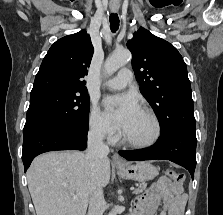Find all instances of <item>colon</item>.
<instances>
[{
    "label": "colon",
    "instance_id": "5ec220e1",
    "mask_svg": "<svg viewBox=\"0 0 223 215\" xmlns=\"http://www.w3.org/2000/svg\"><path fill=\"white\" fill-rule=\"evenodd\" d=\"M166 175L172 179L174 181V183L178 186L181 185L182 181H183V176L178 174L176 171H174L173 169H167L165 171Z\"/></svg>",
    "mask_w": 223,
    "mask_h": 215
}]
</instances>
